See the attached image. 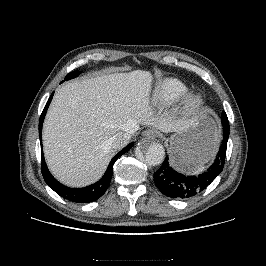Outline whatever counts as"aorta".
I'll list each match as a JSON object with an SVG mask.
<instances>
[{
	"mask_svg": "<svg viewBox=\"0 0 266 266\" xmlns=\"http://www.w3.org/2000/svg\"><path fill=\"white\" fill-rule=\"evenodd\" d=\"M138 153L142 155L147 164L157 166L164 160L165 150L161 143L152 142L149 145L140 143L138 145Z\"/></svg>",
	"mask_w": 266,
	"mask_h": 266,
	"instance_id": "aorta-1",
	"label": "aorta"
}]
</instances>
